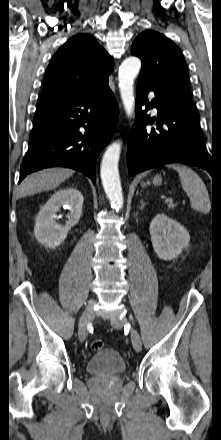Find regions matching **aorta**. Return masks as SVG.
Segmentation results:
<instances>
[{
    "instance_id": "1",
    "label": "aorta",
    "mask_w": 221,
    "mask_h": 440,
    "mask_svg": "<svg viewBox=\"0 0 221 440\" xmlns=\"http://www.w3.org/2000/svg\"><path fill=\"white\" fill-rule=\"evenodd\" d=\"M141 68V61L137 57H128L119 68L118 81L121 100L126 114L134 113V79ZM121 152V142H113L106 149L101 163L100 175L105 193L111 206L117 211L123 207L122 188L119 178L118 163Z\"/></svg>"
}]
</instances>
